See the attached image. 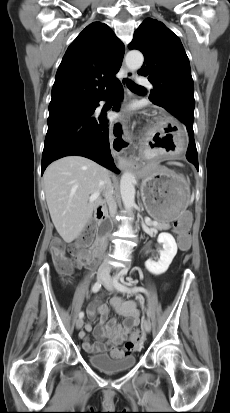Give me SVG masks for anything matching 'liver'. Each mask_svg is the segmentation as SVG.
I'll return each mask as SVG.
<instances>
[{"label": "liver", "instance_id": "6515ba94", "mask_svg": "<svg viewBox=\"0 0 230 413\" xmlns=\"http://www.w3.org/2000/svg\"><path fill=\"white\" fill-rule=\"evenodd\" d=\"M44 191L52 222L66 243L76 239L103 203L109 171L82 156H66L44 173ZM99 192L95 200L90 195Z\"/></svg>", "mask_w": 230, "mask_h": 413}]
</instances>
